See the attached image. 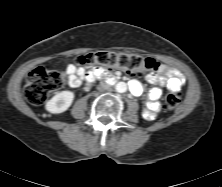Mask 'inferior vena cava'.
Listing matches in <instances>:
<instances>
[{
  "label": "inferior vena cava",
  "instance_id": "602c4592",
  "mask_svg": "<svg viewBox=\"0 0 222 187\" xmlns=\"http://www.w3.org/2000/svg\"><path fill=\"white\" fill-rule=\"evenodd\" d=\"M108 88V84L105 81H101L100 85H99V89L103 90V89H107Z\"/></svg>",
  "mask_w": 222,
  "mask_h": 187
}]
</instances>
